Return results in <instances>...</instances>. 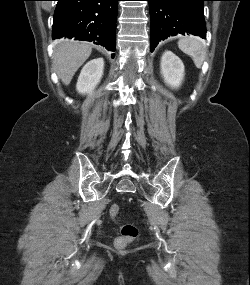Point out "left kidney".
<instances>
[{
  "label": "left kidney",
  "instance_id": "obj_1",
  "mask_svg": "<svg viewBox=\"0 0 250 285\" xmlns=\"http://www.w3.org/2000/svg\"><path fill=\"white\" fill-rule=\"evenodd\" d=\"M184 64L171 51H165L161 58V74L164 82L171 88L180 87L184 79Z\"/></svg>",
  "mask_w": 250,
  "mask_h": 285
}]
</instances>
